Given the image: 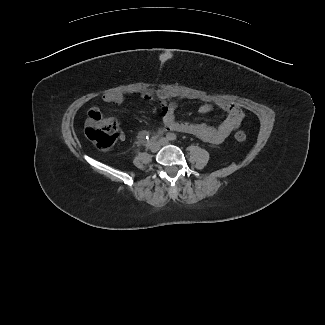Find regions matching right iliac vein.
I'll use <instances>...</instances> for the list:
<instances>
[{
  "label": "right iliac vein",
  "instance_id": "right-iliac-vein-1",
  "mask_svg": "<svg viewBox=\"0 0 325 325\" xmlns=\"http://www.w3.org/2000/svg\"><path fill=\"white\" fill-rule=\"evenodd\" d=\"M160 147H161V143L160 142H156V143H154V144H152L150 146V150L152 152H157L160 149Z\"/></svg>",
  "mask_w": 325,
  "mask_h": 325
}]
</instances>
